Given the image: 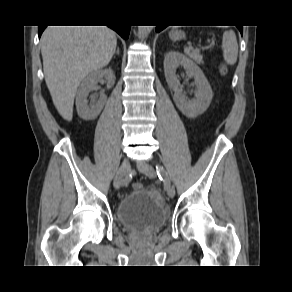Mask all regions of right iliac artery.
I'll use <instances>...</instances> for the list:
<instances>
[{"label": "right iliac artery", "instance_id": "right-iliac-artery-1", "mask_svg": "<svg viewBox=\"0 0 292 292\" xmlns=\"http://www.w3.org/2000/svg\"><path fill=\"white\" fill-rule=\"evenodd\" d=\"M132 179H133V178H132L131 176H127L126 179H125V181H126V182H132Z\"/></svg>", "mask_w": 292, "mask_h": 292}]
</instances>
